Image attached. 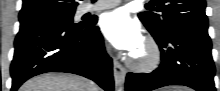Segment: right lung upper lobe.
<instances>
[{
	"label": "right lung upper lobe",
	"instance_id": "1",
	"mask_svg": "<svg viewBox=\"0 0 220 91\" xmlns=\"http://www.w3.org/2000/svg\"><path fill=\"white\" fill-rule=\"evenodd\" d=\"M74 1L63 0H24L22 9L19 13V20L45 16L53 12L69 10L76 7Z\"/></svg>",
	"mask_w": 220,
	"mask_h": 91
}]
</instances>
